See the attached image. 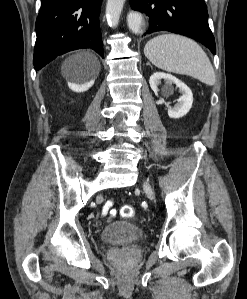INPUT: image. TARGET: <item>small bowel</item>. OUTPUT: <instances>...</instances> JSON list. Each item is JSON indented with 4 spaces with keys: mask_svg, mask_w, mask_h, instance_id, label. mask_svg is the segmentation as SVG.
Masks as SVG:
<instances>
[{
    "mask_svg": "<svg viewBox=\"0 0 247 299\" xmlns=\"http://www.w3.org/2000/svg\"><path fill=\"white\" fill-rule=\"evenodd\" d=\"M112 206V201L109 200L106 202V204L103 207V214L106 215L107 213H109L112 216H115L117 211L115 209H111Z\"/></svg>",
    "mask_w": 247,
    "mask_h": 299,
    "instance_id": "obj_1",
    "label": "small bowel"
}]
</instances>
